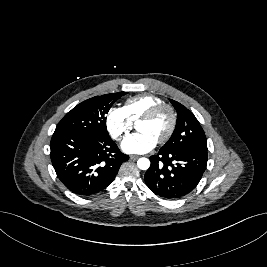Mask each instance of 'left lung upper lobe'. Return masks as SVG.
I'll return each mask as SVG.
<instances>
[{
	"mask_svg": "<svg viewBox=\"0 0 267 267\" xmlns=\"http://www.w3.org/2000/svg\"><path fill=\"white\" fill-rule=\"evenodd\" d=\"M170 102L177 112V124L171 138L160 150L193 148L207 151L205 133L194 114L179 102L172 99Z\"/></svg>",
	"mask_w": 267,
	"mask_h": 267,
	"instance_id": "1",
	"label": "left lung upper lobe"
}]
</instances>
